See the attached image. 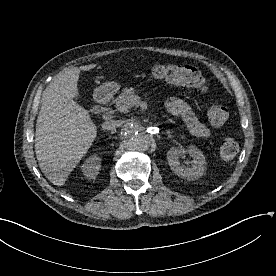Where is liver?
<instances>
[{
  "label": "liver",
  "instance_id": "6515ba94",
  "mask_svg": "<svg viewBox=\"0 0 276 276\" xmlns=\"http://www.w3.org/2000/svg\"><path fill=\"white\" fill-rule=\"evenodd\" d=\"M94 67L96 64L66 69L42 94L35 152L41 171L56 186L65 184L97 136L88 111L73 100L79 95L80 72Z\"/></svg>",
  "mask_w": 276,
  "mask_h": 276
}]
</instances>
